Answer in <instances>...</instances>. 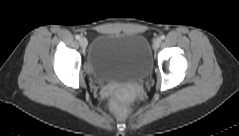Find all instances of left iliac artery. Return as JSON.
Instances as JSON below:
<instances>
[{"label": "left iliac artery", "mask_w": 239, "mask_h": 136, "mask_svg": "<svg viewBox=\"0 0 239 136\" xmlns=\"http://www.w3.org/2000/svg\"><path fill=\"white\" fill-rule=\"evenodd\" d=\"M162 40H164L165 39V35H161V37H160Z\"/></svg>", "instance_id": "1"}]
</instances>
